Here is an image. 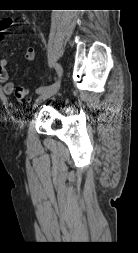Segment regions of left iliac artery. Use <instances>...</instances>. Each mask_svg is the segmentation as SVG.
<instances>
[{
    "instance_id": "44dca946",
    "label": "left iliac artery",
    "mask_w": 138,
    "mask_h": 253,
    "mask_svg": "<svg viewBox=\"0 0 138 253\" xmlns=\"http://www.w3.org/2000/svg\"><path fill=\"white\" fill-rule=\"evenodd\" d=\"M54 68H55V70L57 72V75H58V78H59L58 81H56L54 84L49 85V86H41V87H39L36 90V93L40 94V93L44 92L45 90H47L49 87L57 86L59 84L60 78H61V76L63 74V69H62V67H61L60 64H55Z\"/></svg>"
}]
</instances>
